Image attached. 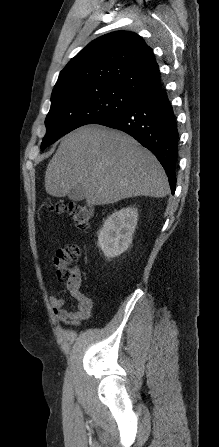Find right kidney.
<instances>
[{
	"label": "right kidney",
	"mask_w": 219,
	"mask_h": 447,
	"mask_svg": "<svg viewBox=\"0 0 219 447\" xmlns=\"http://www.w3.org/2000/svg\"><path fill=\"white\" fill-rule=\"evenodd\" d=\"M138 221V211L134 207L115 211L104 221L98 235V246L107 258L125 252L132 243Z\"/></svg>",
	"instance_id": "right-kidney-1"
}]
</instances>
